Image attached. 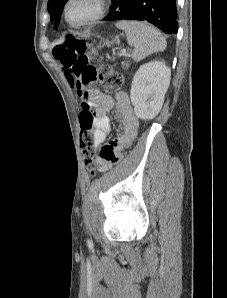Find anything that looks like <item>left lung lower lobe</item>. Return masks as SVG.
<instances>
[{
  "label": "left lung lower lobe",
  "mask_w": 227,
  "mask_h": 298,
  "mask_svg": "<svg viewBox=\"0 0 227 298\" xmlns=\"http://www.w3.org/2000/svg\"><path fill=\"white\" fill-rule=\"evenodd\" d=\"M146 20L165 33H177L176 0H112L103 20Z\"/></svg>",
  "instance_id": "obj_1"
}]
</instances>
